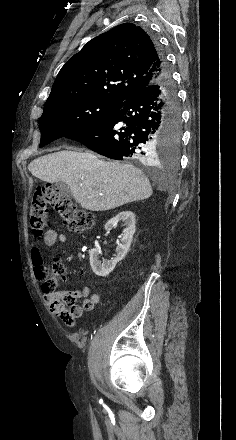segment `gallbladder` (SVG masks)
I'll list each match as a JSON object with an SVG mask.
<instances>
[{"label": "gallbladder", "instance_id": "1", "mask_svg": "<svg viewBox=\"0 0 236 440\" xmlns=\"http://www.w3.org/2000/svg\"><path fill=\"white\" fill-rule=\"evenodd\" d=\"M55 187H56L57 190H59V192L62 195H65L67 197H71L72 196V193H71L70 189L68 188V186L65 183H63L61 181L57 182V183H55Z\"/></svg>", "mask_w": 236, "mask_h": 440}]
</instances>
